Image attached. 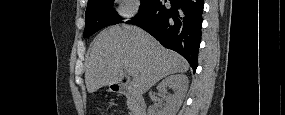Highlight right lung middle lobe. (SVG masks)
Here are the masks:
<instances>
[{
	"instance_id": "1",
	"label": "right lung middle lobe",
	"mask_w": 285,
	"mask_h": 115,
	"mask_svg": "<svg viewBox=\"0 0 285 115\" xmlns=\"http://www.w3.org/2000/svg\"><path fill=\"white\" fill-rule=\"evenodd\" d=\"M154 0H141L140 10L152 4ZM113 0H89L85 13L84 38L98 30L122 22L113 9Z\"/></svg>"
}]
</instances>
